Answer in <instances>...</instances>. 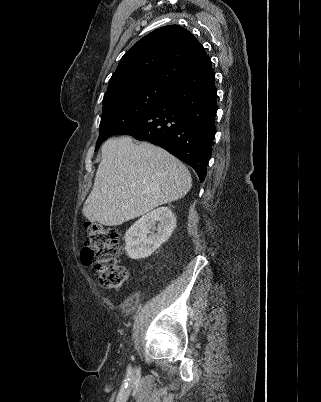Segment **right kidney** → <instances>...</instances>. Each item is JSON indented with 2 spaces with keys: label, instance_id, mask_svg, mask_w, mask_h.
<instances>
[{
  "label": "right kidney",
  "instance_id": "1",
  "mask_svg": "<svg viewBox=\"0 0 321 402\" xmlns=\"http://www.w3.org/2000/svg\"><path fill=\"white\" fill-rule=\"evenodd\" d=\"M157 224V233L154 225ZM176 217L168 207H159L137 220L125 233V250L131 259L151 256L171 236Z\"/></svg>",
  "mask_w": 321,
  "mask_h": 402
}]
</instances>
